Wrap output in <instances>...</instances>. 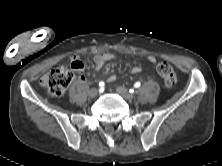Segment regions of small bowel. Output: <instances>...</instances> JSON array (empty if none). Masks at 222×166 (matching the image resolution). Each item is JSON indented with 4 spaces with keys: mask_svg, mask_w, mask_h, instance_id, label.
<instances>
[{
    "mask_svg": "<svg viewBox=\"0 0 222 166\" xmlns=\"http://www.w3.org/2000/svg\"><path fill=\"white\" fill-rule=\"evenodd\" d=\"M113 55L110 53H98L94 56L93 61H94V67L95 70L99 71L101 70L107 63L113 60ZM150 61H155L154 57L149 58ZM71 67L76 70V71H81L84 67L83 62L81 61L79 56H74L71 60ZM142 71V68L140 66H135L131 69V72L133 74H138ZM116 79L115 75H112L109 77V81L112 82ZM81 81H85L86 79L81 76L80 77Z\"/></svg>",
    "mask_w": 222,
    "mask_h": 166,
    "instance_id": "obj_1",
    "label": "small bowel"
}]
</instances>
